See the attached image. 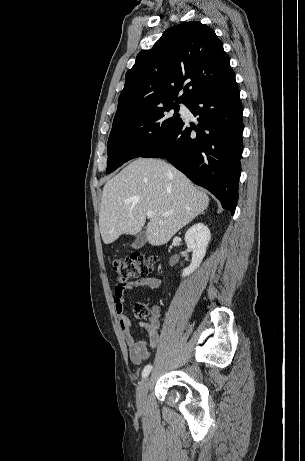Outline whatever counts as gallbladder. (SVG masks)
Returning a JSON list of instances; mask_svg holds the SVG:
<instances>
[{"label":"gallbladder","mask_w":305,"mask_h":461,"mask_svg":"<svg viewBox=\"0 0 305 461\" xmlns=\"http://www.w3.org/2000/svg\"><path fill=\"white\" fill-rule=\"evenodd\" d=\"M145 243H146V231L142 230L138 233V235L136 236V239L134 240L131 246L134 249H139L143 247Z\"/></svg>","instance_id":"1"}]
</instances>
